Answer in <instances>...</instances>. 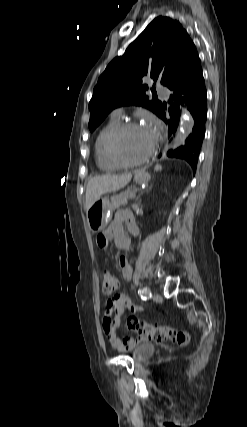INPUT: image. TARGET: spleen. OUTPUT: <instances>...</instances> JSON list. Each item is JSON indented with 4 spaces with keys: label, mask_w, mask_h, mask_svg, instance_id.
Here are the masks:
<instances>
[{
    "label": "spleen",
    "mask_w": 247,
    "mask_h": 427,
    "mask_svg": "<svg viewBox=\"0 0 247 427\" xmlns=\"http://www.w3.org/2000/svg\"><path fill=\"white\" fill-rule=\"evenodd\" d=\"M159 168H160L159 166L156 167V169H159Z\"/></svg>",
    "instance_id": "obj_1"
}]
</instances>
